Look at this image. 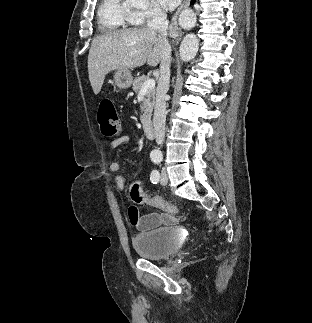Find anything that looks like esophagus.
Masks as SVG:
<instances>
[{
    "instance_id": "esophagus-1",
    "label": "esophagus",
    "mask_w": 312,
    "mask_h": 323,
    "mask_svg": "<svg viewBox=\"0 0 312 323\" xmlns=\"http://www.w3.org/2000/svg\"><path fill=\"white\" fill-rule=\"evenodd\" d=\"M189 3H190V0H183L180 7L177 8L176 12L171 17L169 28H170V31L174 37H177L178 33H179L178 16H179L181 10L188 7Z\"/></svg>"
}]
</instances>
